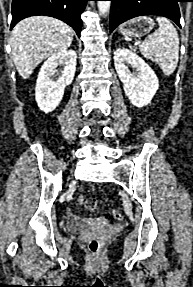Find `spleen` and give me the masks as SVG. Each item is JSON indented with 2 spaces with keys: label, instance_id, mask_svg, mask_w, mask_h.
<instances>
[{
  "label": "spleen",
  "instance_id": "1",
  "mask_svg": "<svg viewBox=\"0 0 193 287\" xmlns=\"http://www.w3.org/2000/svg\"><path fill=\"white\" fill-rule=\"evenodd\" d=\"M159 28L149 35L139 46L141 53L157 63L167 76L171 75L178 64L179 38L172 23L159 17L156 19Z\"/></svg>",
  "mask_w": 193,
  "mask_h": 287
}]
</instances>
